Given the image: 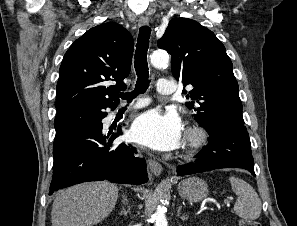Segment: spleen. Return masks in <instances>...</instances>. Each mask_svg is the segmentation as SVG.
Returning <instances> with one entry per match:
<instances>
[{
	"label": "spleen",
	"mask_w": 297,
	"mask_h": 226,
	"mask_svg": "<svg viewBox=\"0 0 297 226\" xmlns=\"http://www.w3.org/2000/svg\"><path fill=\"white\" fill-rule=\"evenodd\" d=\"M233 192L238 195L234 205L235 213L246 220H255L261 214V200L255 189L243 179L230 177Z\"/></svg>",
	"instance_id": "1"
}]
</instances>
